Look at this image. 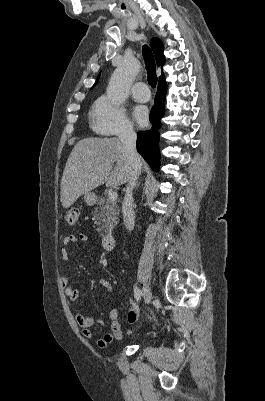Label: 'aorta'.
Returning <instances> with one entry per match:
<instances>
[{"instance_id":"762f6f07","label":"aorta","mask_w":265,"mask_h":401,"mask_svg":"<svg viewBox=\"0 0 265 401\" xmlns=\"http://www.w3.org/2000/svg\"><path fill=\"white\" fill-rule=\"evenodd\" d=\"M137 58H125L120 66L115 68L107 86V96L112 104H121L129 94V86L140 70Z\"/></svg>"}]
</instances>
